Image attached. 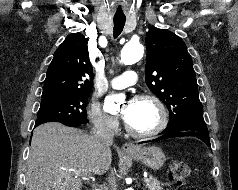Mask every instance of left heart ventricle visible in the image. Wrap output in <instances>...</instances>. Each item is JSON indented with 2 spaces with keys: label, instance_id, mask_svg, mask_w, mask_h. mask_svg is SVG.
Masks as SVG:
<instances>
[{
  "label": "left heart ventricle",
  "instance_id": "left-heart-ventricle-1",
  "mask_svg": "<svg viewBox=\"0 0 238 190\" xmlns=\"http://www.w3.org/2000/svg\"><path fill=\"white\" fill-rule=\"evenodd\" d=\"M158 119L157 109L151 102L134 100L130 117L126 122L134 130L144 132L153 129Z\"/></svg>",
  "mask_w": 238,
  "mask_h": 190
}]
</instances>
